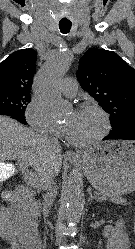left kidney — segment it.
<instances>
[{
    "label": "left kidney",
    "mask_w": 135,
    "mask_h": 249,
    "mask_svg": "<svg viewBox=\"0 0 135 249\" xmlns=\"http://www.w3.org/2000/svg\"><path fill=\"white\" fill-rule=\"evenodd\" d=\"M129 238L124 228V222L119 220L107 241V249H128Z\"/></svg>",
    "instance_id": "left-kidney-1"
}]
</instances>
